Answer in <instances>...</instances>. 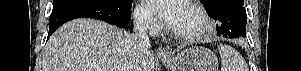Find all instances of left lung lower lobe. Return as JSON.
<instances>
[{"label": "left lung lower lobe", "instance_id": "obj_1", "mask_svg": "<svg viewBox=\"0 0 301 71\" xmlns=\"http://www.w3.org/2000/svg\"><path fill=\"white\" fill-rule=\"evenodd\" d=\"M210 16L217 22L218 36H246L247 15L243 5L228 2L219 6Z\"/></svg>", "mask_w": 301, "mask_h": 71}]
</instances>
